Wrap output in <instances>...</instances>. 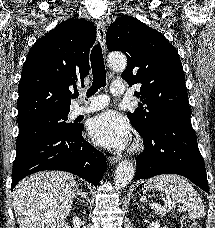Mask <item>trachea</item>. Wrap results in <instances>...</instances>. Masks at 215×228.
<instances>
[{
    "mask_svg": "<svg viewBox=\"0 0 215 228\" xmlns=\"http://www.w3.org/2000/svg\"><path fill=\"white\" fill-rule=\"evenodd\" d=\"M91 68L93 74L92 86L87 91V97L94 95L99 88L106 86V70L102 50L99 44L95 45L91 52ZM78 92L74 93L73 98L78 97Z\"/></svg>",
    "mask_w": 215,
    "mask_h": 228,
    "instance_id": "obj_1",
    "label": "trachea"
}]
</instances>
